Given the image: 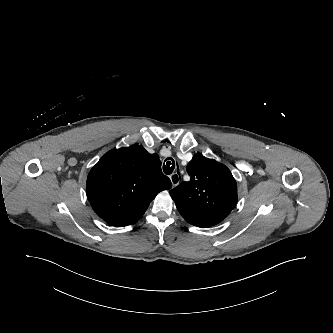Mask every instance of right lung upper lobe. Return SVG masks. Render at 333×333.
Masks as SVG:
<instances>
[{
    "label": "right lung upper lobe",
    "mask_w": 333,
    "mask_h": 333,
    "mask_svg": "<svg viewBox=\"0 0 333 333\" xmlns=\"http://www.w3.org/2000/svg\"><path fill=\"white\" fill-rule=\"evenodd\" d=\"M171 186L159 157L132 145L101 157L88 174L87 197L100 218L123 227L135 224L156 195Z\"/></svg>",
    "instance_id": "obj_1"
}]
</instances>
